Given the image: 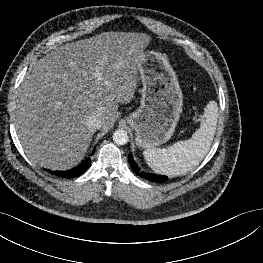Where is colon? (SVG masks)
I'll return each instance as SVG.
<instances>
[{
	"mask_svg": "<svg viewBox=\"0 0 263 263\" xmlns=\"http://www.w3.org/2000/svg\"><path fill=\"white\" fill-rule=\"evenodd\" d=\"M190 91H191V92H195V87H194V86H191V87H190Z\"/></svg>",
	"mask_w": 263,
	"mask_h": 263,
	"instance_id": "colon-1",
	"label": "colon"
}]
</instances>
